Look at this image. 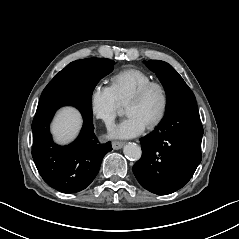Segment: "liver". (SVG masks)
<instances>
[{"label": "liver", "mask_w": 239, "mask_h": 239, "mask_svg": "<svg viewBox=\"0 0 239 239\" xmlns=\"http://www.w3.org/2000/svg\"><path fill=\"white\" fill-rule=\"evenodd\" d=\"M80 117L72 109H65L59 112L53 126V133L59 140H67L74 136L80 127Z\"/></svg>", "instance_id": "liver-1"}]
</instances>
